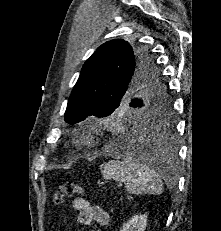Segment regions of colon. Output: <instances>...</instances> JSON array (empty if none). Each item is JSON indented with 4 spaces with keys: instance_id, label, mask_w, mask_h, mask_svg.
I'll list each match as a JSON object with an SVG mask.
<instances>
[{
    "instance_id": "obj_1",
    "label": "colon",
    "mask_w": 221,
    "mask_h": 231,
    "mask_svg": "<svg viewBox=\"0 0 221 231\" xmlns=\"http://www.w3.org/2000/svg\"><path fill=\"white\" fill-rule=\"evenodd\" d=\"M84 189L71 181H67L62 183L55 191L53 196V201L56 207L60 208L64 202L66 197L73 196L75 194H83Z\"/></svg>"
}]
</instances>
